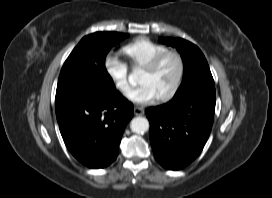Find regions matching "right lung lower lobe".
<instances>
[{
	"label": "right lung lower lobe",
	"mask_w": 272,
	"mask_h": 198,
	"mask_svg": "<svg viewBox=\"0 0 272 198\" xmlns=\"http://www.w3.org/2000/svg\"><path fill=\"white\" fill-rule=\"evenodd\" d=\"M60 132L72 155L90 168L110 165L126 124L133 115L132 103L118 91L80 93L56 100Z\"/></svg>",
	"instance_id": "1"
}]
</instances>
